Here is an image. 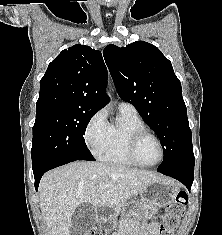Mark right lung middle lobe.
I'll use <instances>...</instances> for the list:
<instances>
[{
  "instance_id": "1",
  "label": "right lung middle lobe",
  "mask_w": 222,
  "mask_h": 235,
  "mask_svg": "<svg viewBox=\"0 0 222 235\" xmlns=\"http://www.w3.org/2000/svg\"><path fill=\"white\" fill-rule=\"evenodd\" d=\"M96 112L55 106L36 112L31 149L33 172L70 160H95L83 135Z\"/></svg>"
}]
</instances>
